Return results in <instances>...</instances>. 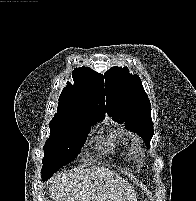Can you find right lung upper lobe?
<instances>
[{
  "label": "right lung upper lobe",
  "mask_w": 196,
  "mask_h": 201,
  "mask_svg": "<svg viewBox=\"0 0 196 201\" xmlns=\"http://www.w3.org/2000/svg\"><path fill=\"white\" fill-rule=\"evenodd\" d=\"M72 77L74 84L67 82L54 117L68 113L104 117L106 111L104 77L88 67L74 69Z\"/></svg>",
  "instance_id": "cb5924a9"
}]
</instances>
